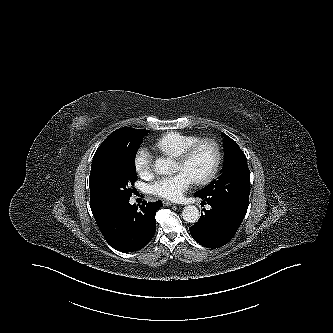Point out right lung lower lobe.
<instances>
[{
	"instance_id": "right-lung-lower-lobe-1",
	"label": "right lung lower lobe",
	"mask_w": 333,
	"mask_h": 333,
	"mask_svg": "<svg viewBox=\"0 0 333 333\" xmlns=\"http://www.w3.org/2000/svg\"><path fill=\"white\" fill-rule=\"evenodd\" d=\"M129 199L113 202L94 215L109 245L124 253L138 251L150 242L155 234V214L162 206L161 201H144L138 208L130 205Z\"/></svg>"
}]
</instances>
